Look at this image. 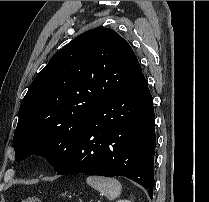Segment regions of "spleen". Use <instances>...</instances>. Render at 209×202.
<instances>
[{
    "mask_svg": "<svg viewBox=\"0 0 209 202\" xmlns=\"http://www.w3.org/2000/svg\"><path fill=\"white\" fill-rule=\"evenodd\" d=\"M86 182L93 189L105 195L109 200L117 198L122 191L120 182L115 178L88 176Z\"/></svg>",
    "mask_w": 209,
    "mask_h": 202,
    "instance_id": "obj_1",
    "label": "spleen"
}]
</instances>
